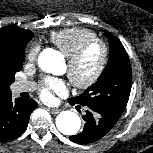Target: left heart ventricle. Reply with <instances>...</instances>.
I'll list each match as a JSON object with an SVG mask.
<instances>
[{"instance_id": "left-heart-ventricle-1", "label": "left heart ventricle", "mask_w": 153, "mask_h": 153, "mask_svg": "<svg viewBox=\"0 0 153 153\" xmlns=\"http://www.w3.org/2000/svg\"><path fill=\"white\" fill-rule=\"evenodd\" d=\"M101 54L102 52L99 45H94L89 48L75 68L76 77L80 80L89 78L99 65Z\"/></svg>"}]
</instances>
